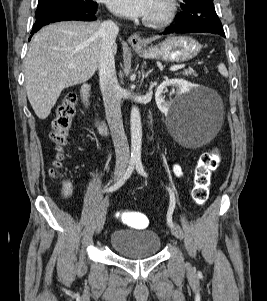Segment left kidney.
I'll return each instance as SVG.
<instances>
[{"label":"left kidney","instance_id":"obj_1","mask_svg":"<svg viewBox=\"0 0 267 301\" xmlns=\"http://www.w3.org/2000/svg\"><path fill=\"white\" fill-rule=\"evenodd\" d=\"M170 86L177 88L178 95L188 93L193 88L196 87L195 85H193L183 79H170V80H166L163 83H161L156 90L155 100H156V104H157L159 110L162 111L163 113H167L171 106V102L165 101V99L163 97V93H164L165 89Z\"/></svg>","mask_w":267,"mask_h":301}]
</instances>
